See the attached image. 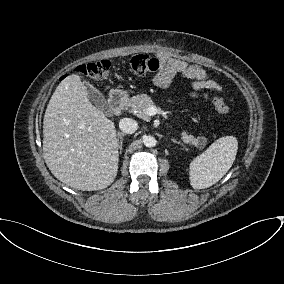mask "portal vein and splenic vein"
<instances>
[{
    "label": "portal vein and splenic vein",
    "instance_id": "portal-vein-and-splenic-vein-1",
    "mask_svg": "<svg viewBox=\"0 0 284 284\" xmlns=\"http://www.w3.org/2000/svg\"><path fill=\"white\" fill-rule=\"evenodd\" d=\"M157 112H158V109H157L156 106H150V107L147 109V114L150 115V116L155 115Z\"/></svg>",
    "mask_w": 284,
    "mask_h": 284
}]
</instances>
